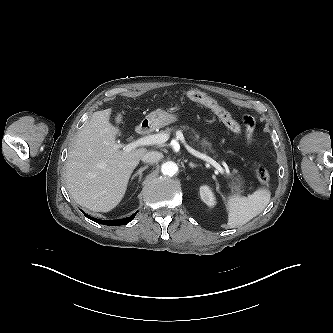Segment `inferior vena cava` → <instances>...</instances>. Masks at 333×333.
Here are the masks:
<instances>
[{"mask_svg":"<svg viewBox=\"0 0 333 333\" xmlns=\"http://www.w3.org/2000/svg\"><path fill=\"white\" fill-rule=\"evenodd\" d=\"M163 158V154L161 152L158 151H149L146 152L142 157L141 160L143 162L149 163V164H154L157 161H159L160 159Z\"/></svg>","mask_w":333,"mask_h":333,"instance_id":"obj_1","label":"inferior vena cava"}]
</instances>
